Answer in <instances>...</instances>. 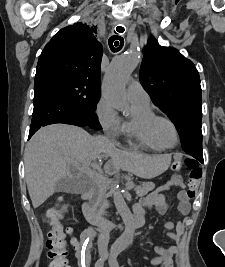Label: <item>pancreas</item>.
Here are the masks:
<instances>
[{"mask_svg": "<svg viewBox=\"0 0 225 267\" xmlns=\"http://www.w3.org/2000/svg\"><path fill=\"white\" fill-rule=\"evenodd\" d=\"M102 191L105 189V185L101 186ZM155 188V184L153 182H147L144 185H139L136 187V193L139 197H143L147 195L150 191H152Z\"/></svg>", "mask_w": 225, "mask_h": 267, "instance_id": "obj_1", "label": "pancreas"}]
</instances>
